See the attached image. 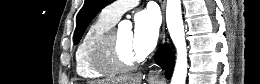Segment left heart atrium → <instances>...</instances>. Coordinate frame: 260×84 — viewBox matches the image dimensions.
<instances>
[{
    "label": "left heart atrium",
    "mask_w": 260,
    "mask_h": 84,
    "mask_svg": "<svg viewBox=\"0 0 260 84\" xmlns=\"http://www.w3.org/2000/svg\"><path fill=\"white\" fill-rule=\"evenodd\" d=\"M159 18L154 10L148 9L136 14L132 45L138 58L148 55L156 46L159 36Z\"/></svg>",
    "instance_id": "left-heart-atrium-1"
}]
</instances>
